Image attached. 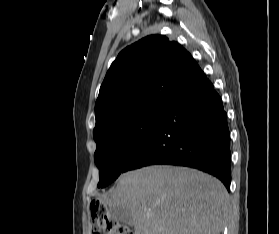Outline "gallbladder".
Returning <instances> with one entry per match:
<instances>
[{
  "label": "gallbladder",
  "instance_id": "1",
  "mask_svg": "<svg viewBox=\"0 0 279 234\" xmlns=\"http://www.w3.org/2000/svg\"><path fill=\"white\" fill-rule=\"evenodd\" d=\"M109 214L117 220L132 226V217L129 211L122 207H110L108 210Z\"/></svg>",
  "mask_w": 279,
  "mask_h": 234
}]
</instances>
